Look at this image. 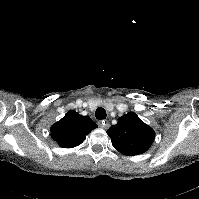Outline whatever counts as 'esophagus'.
Returning a JSON list of instances; mask_svg holds the SVG:
<instances>
[{"instance_id": "esophagus-1", "label": "esophagus", "mask_w": 199, "mask_h": 199, "mask_svg": "<svg viewBox=\"0 0 199 199\" xmlns=\"http://www.w3.org/2000/svg\"><path fill=\"white\" fill-rule=\"evenodd\" d=\"M98 124L103 129H108L110 126L109 122L105 120L100 121Z\"/></svg>"}]
</instances>
